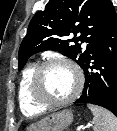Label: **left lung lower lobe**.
I'll use <instances>...</instances> for the list:
<instances>
[{"label":"left lung lower lobe","mask_w":117,"mask_h":131,"mask_svg":"<svg viewBox=\"0 0 117 131\" xmlns=\"http://www.w3.org/2000/svg\"><path fill=\"white\" fill-rule=\"evenodd\" d=\"M85 85L74 103H90L117 116V13L111 8L100 42L84 67Z\"/></svg>","instance_id":"left-lung-lower-lobe-1"}]
</instances>
